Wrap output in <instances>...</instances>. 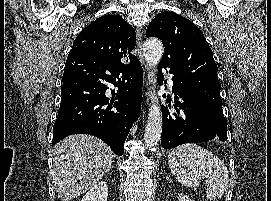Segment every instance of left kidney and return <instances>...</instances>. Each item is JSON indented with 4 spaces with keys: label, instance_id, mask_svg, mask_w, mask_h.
Wrapping results in <instances>:
<instances>
[{
    "label": "left kidney",
    "instance_id": "obj_1",
    "mask_svg": "<svg viewBox=\"0 0 271 201\" xmlns=\"http://www.w3.org/2000/svg\"><path fill=\"white\" fill-rule=\"evenodd\" d=\"M178 201H193V200L189 199V197L187 195L180 194Z\"/></svg>",
    "mask_w": 271,
    "mask_h": 201
}]
</instances>
